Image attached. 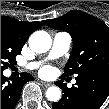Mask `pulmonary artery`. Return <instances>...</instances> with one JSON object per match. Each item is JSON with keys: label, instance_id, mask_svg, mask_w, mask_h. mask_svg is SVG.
<instances>
[{"label": "pulmonary artery", "instance_id": "obj_1", "mask_svg": "<svg viewBox=\"0 0 109 109\" xmlns=\"http://www.w3.org/2000/svg\"><path fill=\"white\" fill-rule=\"evenodd\" d=\"M72 37L67 32H58L53 37L52 47L48 54V59H55L64 55L70 48ZM41 64V61H33L27 63L24 68L26 70H34ZM74 83V82H73Z\"/></svg>", "mask_w": 109, "mask_h": 109}]
</instances>
